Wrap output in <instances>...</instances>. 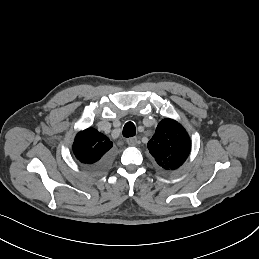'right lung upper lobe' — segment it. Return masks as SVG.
Listing matches in <instances>:
<instances>
[{
	"label": "right lung upper lobe",
	"mask_w": 259,
	"mask_h": 259,
	"mask_svg": "<svg viewBox=\"0 0 259 259\" xmlns=\"http://www.w3.org/2000/svg\"><path fill=\"white\" fill-rule=\"evenodd\" d=\"M113 143L95 128L80 131L73 143V153L83 164H94L112 148Z\"/></svg>",
	"instance_id": "1"
}]
</instances>
